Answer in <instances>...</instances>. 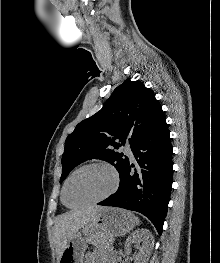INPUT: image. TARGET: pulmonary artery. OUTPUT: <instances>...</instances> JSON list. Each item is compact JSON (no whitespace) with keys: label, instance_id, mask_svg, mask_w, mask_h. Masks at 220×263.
I'll list each match as a JSON object with an SVG mask.
<instances>
[{"label":"pulmonary artery","instance_id":"obj_1","mask_svg":"<svg viewBox=\"0 0 220 263\" xmlns=\"http://www.w3.org/2000/svg\"><path fill=\"white\" fill-rule=\"evenodd\" d=\"M126 152H127L128 156H129L131 159L134 158L133 152H132L131 147H130L129 145H127V147H126Z\"/></svg>","mask_w":220,"mask_h":263}]
</instances>
